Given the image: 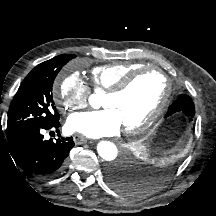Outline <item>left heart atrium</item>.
Here are the masks:
<instances>
[{
  "label": "left heart atrium",
  "mask_w": 216,
  "mask_h": 216,
  "mask_svg": "<svg viewBox=\"0 0 216 216\" xmlns=\"http://www.w3.org/2000/svg\"><path fill=\"white\" fill-rule=\"evenodd\" d=\"M121 126L119 116L109 107L99 111L73 113L66 121L69 132H77L90 138L115 135Z\"/></svg>",
  "instance_id": "1"
}]
</instances>
